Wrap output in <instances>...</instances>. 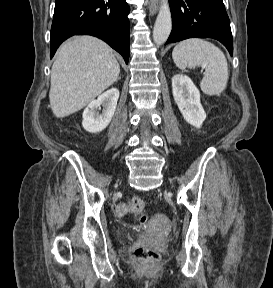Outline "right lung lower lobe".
<instances>
[{"mask_svg": "<svg viewBox=\"0 0 273 288\" xmlns=\"http://www.w3.org/2000/svg\"><path fill=\"white\" fill-rule=\"evenodd\" d=\"M130 8L126 0H56L50 35V58L73 35L96 36L129 60Z\"/></svg>", "mask_w": 273, "mask_h": 288, "instance_id": "obj_1", "label": "right lung lower lobe"}]
</instances>
